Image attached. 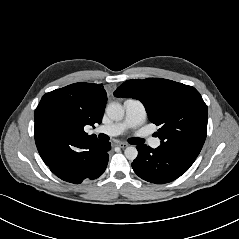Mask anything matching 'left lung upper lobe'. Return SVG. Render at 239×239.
<instances>
[{
    "instance_id": "obj_1",
    "label": "left lung upper lobe",
    "mask_w": 239,
    "mask_h": 239,
    "mask_svg": "<svg viewBox=\"0 0 239 239\" xmlns=\"http://www.w3.org/2000/svg\"><path fill=\"white\" fill-rule=\"evenodd\" d=\"M145 106L151 122L161 125L156 132L161 145L174 147L197 157L207 134V105L192 86L161 78L133 79L114 92Z\"/></svg>"
}]
</instances>
